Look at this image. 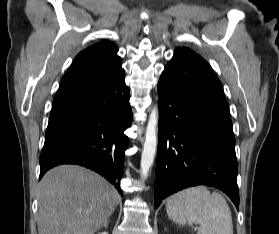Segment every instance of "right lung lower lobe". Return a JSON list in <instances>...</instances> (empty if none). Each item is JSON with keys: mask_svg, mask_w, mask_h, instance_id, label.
Wrapping results in <instances>:
<instances>
[{"mask_svg": "<svg viewBox=\"0 0 279 234\" xmlns=\"http://www.w3.org/2000/svg\"><path fill=\"white\" fill-rule=\"evenodd\" d=\"M124 69L93 85L56 95L40 155V179L60 164H78L109 180L122 194L124 134L132 122Z\"/></svg>", "mask_w": 279, "mask_h": 234, "instance_id": "98d812e1", "label": "right lung lower lobe"}]
</instances>
